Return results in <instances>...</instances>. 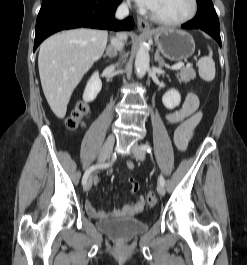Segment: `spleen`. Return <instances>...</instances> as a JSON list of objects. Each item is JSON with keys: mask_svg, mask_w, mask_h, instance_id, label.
I'll use <instances>...</instances> for the list:
<instances>
[{"mask_svg": "<svg viewBox=\"0 0 247 265\" xmlns=\"http://www.w3.org/2000/svg\"><path fill=\"white\" fill-rule=\"evenodd\" d=\"M213 52L209 48V55L198 61L199 75L205 81H212L215 77V63L212 59Z\"/></svg>", "mask_w": 247, "mask_h": 265, "instance_id": "3e777b00", "label": "spleen"}]
</instances>
